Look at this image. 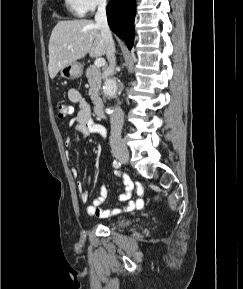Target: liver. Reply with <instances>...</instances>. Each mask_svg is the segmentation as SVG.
I'll return each mask as SVG.
<instances>
[{
  "mask_svg": "<svg viewBox=\"0 0 243 289\" xmlns=\"http://www.w3.org/2000/svg\"><path fill=\"white\" fill-rule=\"evenodd\" d=\"M48 71L53 79L60 69L84 58L100 57L107 53L106 42L92 20L59 21L49 40Z\"/></svg>",
  "mask_w": 243,
  "mask_h": 289,
  "instance_id": "obj_1",
  "label": "liver"
}]
</instances>
